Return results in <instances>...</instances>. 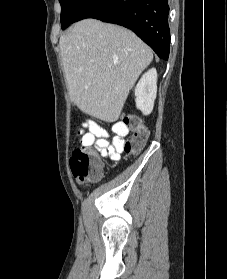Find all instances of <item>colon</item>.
Segmentation results:
<instances>
[{
	"label": "colon",
	"mask_w": 227,
	"mask_h": 279,
	"mask_svg": "<svg viewBox=\"0 0 227 279\" xmlns=\"http://www.w3.org/2000/svg\"><path fill=\"white\" fill-rule=\"evenodd\" d=\"M124 126H130L132 135L125 142V151L131 154L139 153L146 145L148 140V130L133 116H125L122 119ZM93 138L89 133L81 134L80 144L70 157V165L74 177L82 183H87L99 178L102 170V161L99 154L92 150L90 145Z\"/></svg>",
	"instance_id": "1"
}]
</instances>
